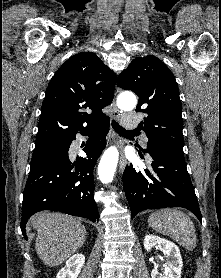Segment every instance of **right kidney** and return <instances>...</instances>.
<instances>
[{"mask_svg":"<svg viewBox=\"0 0 221 278\" xmlns=\"http://www.w3.org/2000/svg\"><path fill=\"white\" fill-rule=\"evenodd\" d=\"M84 263L85 256L83 254H74L58 272L56 278H77Z\"/></svg>","mask_w":221,"mask_h":278,"instance_id":"obj_1","label":"right kidney"}]
</instances>
